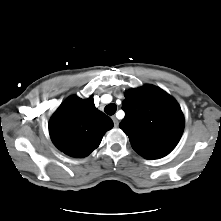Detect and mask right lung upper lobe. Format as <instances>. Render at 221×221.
Segmentation results:
<instances>
[{"label": "right lung upper lobe", "mask_w": 221, "mask_h": 221, "mask_svg": "<svg viewBox=\"0 0 221 221\" xmlns=\"http://www.w3.org/2000/svg\"><path fill=\"white\" fill-rule=\"evenodd\" d=\"M113 127L110 117L97 110L92 96L69 97L53 114L49 133L54 145L72 157H85L96 149L106 131Z\"/></svg>", "instance_id": "right-lung-upper-lobe-1"}]
</instances>
